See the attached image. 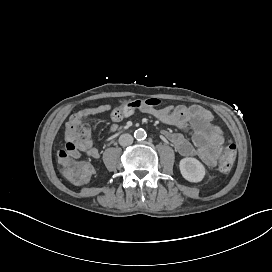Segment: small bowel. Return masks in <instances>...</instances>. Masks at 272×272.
<instances>
[{
	"instance_id": "small-bowel-1",
	"label": "small bowel",
	"mask_w": 272,
	"mask_h": 272,
	"mask_svg": "<svg viewBox=\"0 0 272 272\" xmlns=\"http://www.w3.org/2000/svg\"><path fill=\"white\" fill-rule=\"evenodd\" d=\"M89 109L93 111L94 115H99L110 112L112 106L110 104H101ZM140 111L168 125L181 128L191 135V139H188L181 133L167 130L162 132L163 138L172 143L179 155L183 157L197 156L208 167L212 168L216 166V158L212 154L211 149L223 143L224 131L221 125L214 123L213 114L209 109L194 104L189 106L168 105L158 108L147 107L140 109ZM81 152L94 160L99 159L101 155L94 144L90 151Z\"/></svg>"
}]
</instances>
